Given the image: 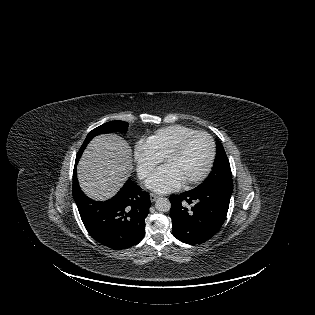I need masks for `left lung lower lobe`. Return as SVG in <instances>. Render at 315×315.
<instances>
[{"instance_id": "0a47b994", "label": "left lung lower lobe", "mask_w": 315, "mask_h": 315, "mask_svg": "<svg viewBox=\"0 0 315 315\" xmlns=\"http://www.w3.org/2000/svg\"><path fill=\"white\" fill-rule=\"evenodd\" d=\"M232 190L199 185L180 195H172L173 235L187 244H200L213 237L226 218Z\"/></svg>"}]
</instances>
